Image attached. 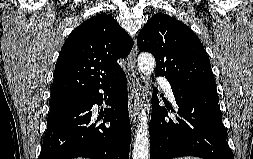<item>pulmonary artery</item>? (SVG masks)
Returning a JSON list of instances; mask_svg holds the SVG:
<instances>
[{
  "mask_svg": "<svg viewBox=\"0 0 253 159\" xmlns=\"http://www.w3.org/2000/svg\"><path fill=\"white\" fill-rule=\"evenodd\" d=\"M157 82L160 84L162 89L164 90L165 94L168 96L169 100L171 102L175 101L174 94L172 91L171 83L169 80L163 77H158Z\"/></svg>",
  "mask_w": 253,
  "mask_h": 159,
  "instance_id": "e3ab8cb5",
  "label": "pulmonary artery"
}]
</instances>
